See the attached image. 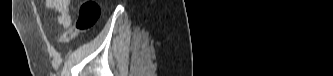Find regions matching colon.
<instances>
[{"mask_svg": "<svg viewBox=\"0 0 333 76\" xmlns=\"http://www.w3.org/2000/svg\"><path fill=\"white\" fill-rule=\"evenodd\" d=\"M100 16V8L96 1H84L79 9L75 26L66 32L62 38L63 42L71 41L77 34L85 33L95 26Z\"/></svg>", "mask_w": 333, "mask_h": 76, "instance_id": "obj_1", "label": "colon"}]
</instances>
